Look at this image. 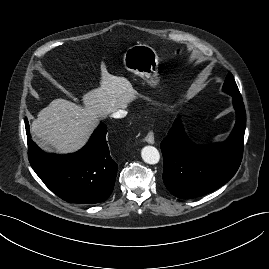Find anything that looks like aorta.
I'll return each instance as SVG.
<instances>
[{
    "label": "aorta",
    "instance_id": "762f6f07",
    "mask_svg": "<svg viewBox=\"0 0 269 269\" xmlns=\"http://www.w3.org/2000/svg\"><path fill=\"white\" fill-rule=\"evenodd\" d=\"M141 157L147 164H157L160 160L159 151L153 146H145L141 150Z\"/></svg>",
    "mask_w": 269,
    "mask_h": 269
}]
</instances>
